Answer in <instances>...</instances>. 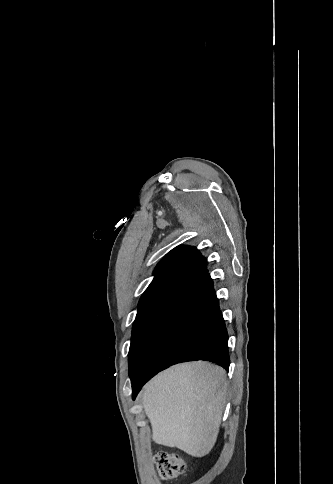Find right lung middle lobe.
Wrapping results in <instances>:
<instances>
[{
	"instance_id": "1",
	"label": "right lung middle lobe",
	"mask_w": 333,
	"mask_h": 484,
	"mask_svg": "<svg viewBox=\"0 0 333 484\" xmlns=\"http://www.w3.org/2000/svg\"><path fill=\"white\" fill-rule=\"evenodd\" d=\"M160 301L150 302L138 307V313L133 324L132 339L129 350V374L130 377L140 358V349L144 335L153 311Z\"/></svg>"
}]
</instances>
